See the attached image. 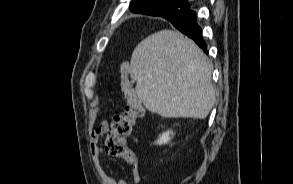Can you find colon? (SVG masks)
Returning a JSON list of instances; mask_svg holds the SVG:
<instances>
[{
    "label": "colon",
    "mask_w": 293,
    "mask_h": 184,
    "mask_svg": "<svg viewBox=\"0 0 293 184\" xmlns=\"http://www.w3.org/2000/svg\"><path fill=\"white\" fill-rule=\"evenodd\" d=\"M129 63L120 65L121 88L126 98L124 109L114 115L105 139V152L110 156L121 157L129 163L135 161L133 152L128 148L125 138L129 136L136 122L143 117L144 108L130 85Z\"/></svg>",
    "instance_id": "colon-1"
}]
</instances>
